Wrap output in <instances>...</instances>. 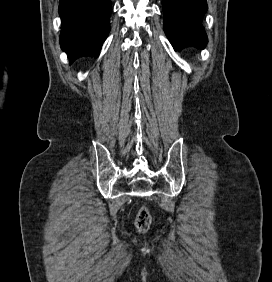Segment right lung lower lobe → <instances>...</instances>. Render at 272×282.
Segmentation results:
<instances>
[{
	"label": "right lung lower lobe",
	"instance_id": "obj_1",
	"mask_svg": "<svg viewBox=\"0 0 272 282\" xmlns=\"http://www.w3.org/2000/svg\"><path fill=\"white\" fill-rule=\"evenodd\" d=\"M111 9V0H60V44L70 63L82 56L98 57L110 31Z\"/></svg>",
	"mask_w": 272,
	"mask_h": 282
}]
</instances>
